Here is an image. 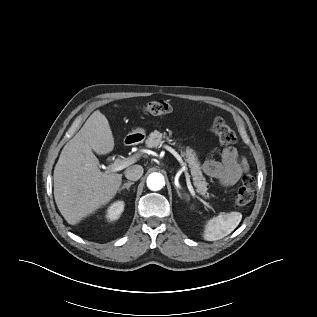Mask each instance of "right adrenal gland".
<instances>
[{"instance_id":"obj_1","label":"right adrenal gland","mask_w":317,"mask_h":317,"mask_svg":"<svg viewBox=\"0 0 317 317\" xmlns=\"http://www.w3.org/2000/svg\"><path fill=\"white\" fill-rule=\"evenodd\" d=\"M134 184V182H127V183H124L123 186L118 190V192L120 193L122 190L124 189H127L129 190L130 186Z\"/></svg>"}]
</instances>
